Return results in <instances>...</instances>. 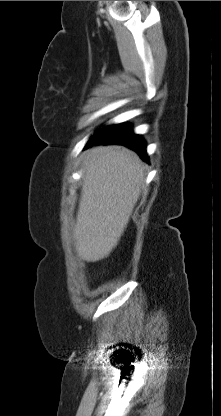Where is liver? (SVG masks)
<instances>
[{
    "label": "liver",
    "mask_w": 221,
    "mask_h": 416,
    "mask_svg": "<svg viewBox=\"0 0 221 416\" xmlns=\"http://www.w3.org/2000/svg\"><path fill=\"white\" fill-rule=\"evenodd\" d=\"M144 183L142 160L133 151L121 146L91 149L73 231L82 259L99 261L116 247Z\"/></svg>",
    "instance_id": "liver-1"
}]
</instances>
